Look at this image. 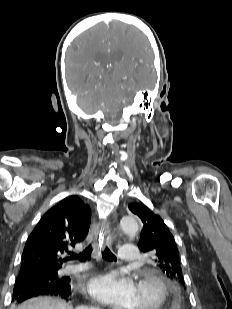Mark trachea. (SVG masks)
I'll return each instance as SVG.
<instances>
[{
    "instance_id": "obj_1",
    "label": "trachea",
    "mask_w": 232,
    "mask_h": 309,
    "mask_svg": "<svg viewBox=\"0 0 232 309\" xmlns=\"http://www.w3.org/2000/svg\"><path fill=\"white\" fill-rule=\"evenodd\" d=\"M92 253V246L89 245L83 252L76 254L70 253L71 258H76L81 262H85L86 260H90ZM103 258L108 261H116V256L106 247L105 250L102 252Z\"/></svg>"
}]
</instances>
